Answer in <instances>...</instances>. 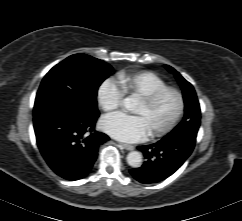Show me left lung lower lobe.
<instances>
[{
	"label": "left lung lower lobe",
	"instance_id": "left-lung-lower-lobe-1",
	"mask_svg": "<svg viewBox=\"0 0 242 221\" xmlns=\"http://www.w3.org/2000/svg\"><path fill=\"white\" fill-rule=\"evenodd\" d=\"M195 135L164 137L157 143L139 146L146 158L140 168L130 170L134 179L143 184L165 180L175 173L192 153Z\"/></svg>",
	"mask_w": 242,
	"mask_h": 221
}]
</instances>
